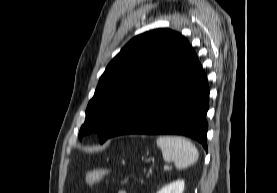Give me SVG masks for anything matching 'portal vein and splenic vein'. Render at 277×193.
<instances>
[{"label":"portal vein and splenic vein","instance_id":"portal-vein-and-splenic-vein-1","mask_svg":"<svg viewBox=\"0 0 277 193\" xmlns=\"http://www.w3.org/2000/svg\"><path fill=\"white\" fill-rule=\"evenodd\" d=\"M169 169V166L168 165H165L164 166V170H168Z\"/></svg>","mask_w":277,"mask_h":193}]
</instances>
